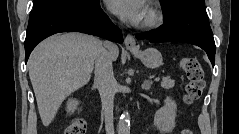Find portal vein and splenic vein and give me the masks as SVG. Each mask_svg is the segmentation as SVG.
Returning a JSON list of instances; mask_svg holds the SVG:
<instances>
[{
  "instance_id": "obj_1",
  "label": "portal vein and splenic vein",
  "mask_w": 239,
  "mask_h": 134,
  "mask_svg": "<svg viewBox=\"0 0 239 134\" xmlns=\"http://www.w3.org/2000/svg\"><path fill=\"white\" fill-rule=\"evenodd\" d=\"M159 80H160V77H156V78H155V81H159Z\"/></svg>"
}]
</instances>
